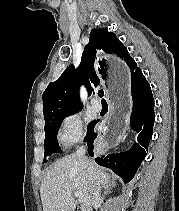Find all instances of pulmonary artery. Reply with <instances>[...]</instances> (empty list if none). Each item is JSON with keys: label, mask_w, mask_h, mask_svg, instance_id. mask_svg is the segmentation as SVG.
Here are the masks:
<instances>
[{"label": "pulmonary artery", "mask_w": 179, "mask_h": 211, "mask_svg": "<svg viewBox=\"0 0 179 211\" xmlns=\"http://www.w3.org/2000/svg\"><path fill=\"white\" fill-rule=\"evenodd\" d=\"M92 108L96 112H100L102 110V105H101L100 101L97 98H94L92 100Z\"/></svg>", "instance_id": "obj_1"}]
</instances>
